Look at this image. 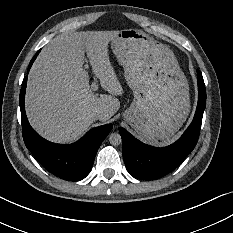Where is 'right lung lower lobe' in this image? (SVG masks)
<instances>
[{"label": "right lung lower lobe", "instance_id": "obj_1", "mask_svg": "<svg viewBox=\"0 0 233 233\" xmlns=\"http://www.w3.org/2000/svg\"><path fill=\"white\" fill-rule=\"evenodd\" d=\"M37 54L31 60L28 72ZM27 76L24 78L19 96L22 135L26 147L37 161L49 172L68 181L85 178L94 162L95 155L113 125L106 124L87 132L79 141L70 145L51 143L40 137L30 126L24 108Z\"/></svg>", "mask_w": 233, "mask_h": 233}]
</instances>
